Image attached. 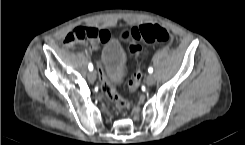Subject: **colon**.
<instances>
[{"mask_svg":"<svg viewBox=\"0 0 245 145\" xmlns=\"http://www.w3.org/2000/svg\"><path fill=\"white\" fill-rule=\"evenodd\" d=\"M97 37H99V32L96 29L77 26L66 35L64 43L67 45L74 42L91 43ZM120 40L129 49L130 53L139 59L143 53L142 42L166 44L171 40V33L166 27L148 23L127 29L121 34ZM142 78L143 69L140 64H137L135 74L127 81L128 88L132 91L136 90ZM103 89L108 98L115 103L119 113H125L129 110L130 102L120 97L106 78L103 81Z\"/></svg>","mask_w":245,"mask_h":145,"instance_id":"obj_1","label":"colon"}]
</instances>
